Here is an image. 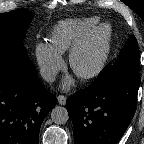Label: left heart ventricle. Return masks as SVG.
Here are the masks:
<instances>
[{"label": "left heart ventricle", "mask_w": 144, "mask_h": 144, "mask_svg": "<svg viewBox=\"0 0 144 144\" xmlns=\"http://www.w3.org/2000/svg\"><path fill=\"white\" fill-rule=\"evenodd\" d=\"M101 37L95 38L87 47L82 51L76 60V68L79 71H85L91 68L99 59L102 52Z\"/></svg>", "instance_id": "left-heart-ventricle-1"}]
</instances>
